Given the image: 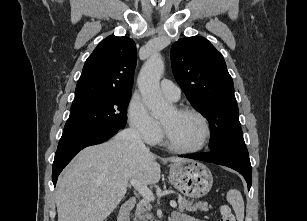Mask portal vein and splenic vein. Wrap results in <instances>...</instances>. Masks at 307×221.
Here are the masks:
<instances>
[{"mask_svg":"<svg viewBox=\"0 0 307 221\" xmlns=\"http://www.w3.org/2000/svg\"><path fill=\"white\" fill-rule=\"evenodd\" d=\"M130 183L135 188V190H137L143 196L145 200L147 201L154 200L153 192L146 185L135 179L130 180ZM170 206L176 208L177 203L174 200H171Z\"/></svg>","mask_w":307,"mask_h":221,"instance_id":"obj_1","label":"portal vein and splenic vein"}]
</instances>
